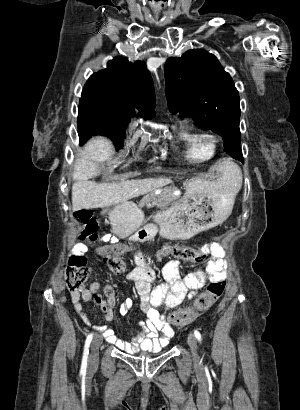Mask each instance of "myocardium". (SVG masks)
<instances>
[{
  "label": "myocardium",
  "mask_w": 300,
  "mask_h": 410,
  "mask_svg": "<svg viewBox=\"0 0 300 410\" xmlns=\"http://www.w3.org/2000/svg\"><path fill=\"white\" fill-rule=\"evenodd\" d=\"M219 140H220L219 137L213 136V142H214V144H215L216 142H218Z\"/></svg>",
  "instance_id": "f54148a6"
}]
</instances>
